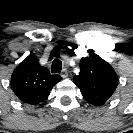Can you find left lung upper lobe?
<instances>
[{"label": "left lung upper lobe", "instance_id": "left-lung-upper-lobe-1", "mask_svg": "<svg viewBox=\"0 0 133 133\" xmlns=\"http://www.w3.org/2000/svg\"><path fill=\"white\" fill-rule=\"evenodd\" d=\"M89 55L80 61V73L74 83L80 88L83 97L92 105L101 106L114 93L118 77L112 66L89 50Z\"/></svg>", "mask_w": 133, "mask_h": 133}]
</instances>
